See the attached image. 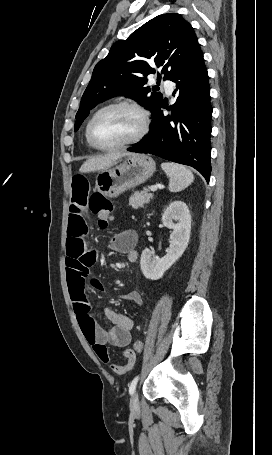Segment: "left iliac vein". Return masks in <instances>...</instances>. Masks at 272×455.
Returning <instances> with one entry per match:
<instances>
[{
	"label": "left iliac vein",
	"instance_id": "left-iliac-vein-1",
	"mask_svg": "<svg viewBox=\"0 0 272 455\" xmlns=\"http://www.w3.org/2000/svg\"><path fill=\"white\" fill-rule=\"evenodd\" d=\"M130 408L132 412H137L139 410V398L138 393H134L130 400Z\"/></svg>",
	"mask_w": 272,
	"mask_h": 455
}]
</instances>
